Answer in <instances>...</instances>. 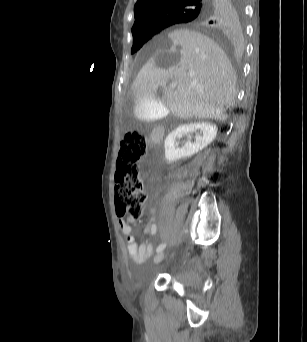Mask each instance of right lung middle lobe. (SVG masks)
I'll return each instance as SVG.
<instances>
[{
	"mask_svg": "<svg viewBox=\"0 0 307 342\" xmlns=\"http://www.w3.org/2000/svg\"><path fill=\"white\" fill-rule=\"evenodd\" d=\"M195 14L192 10L179 12L171 17L172 22H182L188 20ZM160 30L146 31L133 35V46L131 53L137 52L150 38L159 33Z\"/></svg>",
	"mask_w": 307,
	"mask_h": 342,
	"instance_id": "1",
	"label": "right lung middle lobe"
}]
</instances>
